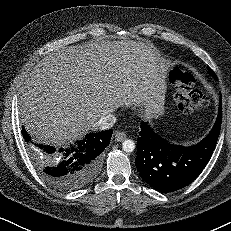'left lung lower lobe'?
Returning <instances> with one entry per match:
<instances>
[{
	"instance_id": "obj_1",
	"label": "left lung lower lobe",
	"mask_w": 231,
	"mask_h": 231,
	"mask_svg": "<svg viewBox=\"0 0 231 231\" xmlns=\"http://www.w3.org/2000/svg\"><path fill=\"white\" fill-rule=\"evenodd\" d=\"M222 122V98L218 116L209 134L199 143L174 145L148 125L141 123L135 165L141 178L161 193L173 192L193 182L207 165L215 149Z\"/></svg>"
}]
</instances>
